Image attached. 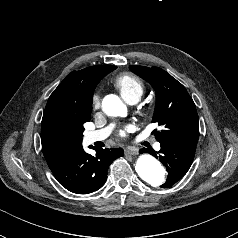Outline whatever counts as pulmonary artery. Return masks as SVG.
I'll use <instances>...</instances> for the list:
<instances>
[{
  "mask_svg": "<svg viewBox=\"0 0 238 238\" xmlns=\"http://www.w3.org/2000/svg\"><path fill=\"white\" fill-rule=\"evenodd\" d=\"M126 101H127V103L133 105L138 101V99L131 98ZM112 127H113L112 125H109L105 128L86 133L85 137H84L85 143L93 144L94 142L102 141V140L106 139L109 136V134L111 133ZM154 148H155V150H160V148H161L160 143L156 142L154 144Z\"/></svg>",
  "mask_w": 238,
  "mask_h": 238,
  "instance_id": "1",
  "label": "pulmonary artery"
}]
</instances>
